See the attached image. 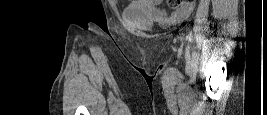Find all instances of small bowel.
I'll list each match as a JSON object with an SVG mask.
<instances>
[{"mask_svg": "<svg viewBox=\"0 0 267 115\" xmlns=\"http://www.w3.org/2000/svg\"><path fill=\"white\" fill-rule=\"evenodd\" d=\"M160 4L161 0H138V1H133L130 7L133 9L144 10L158 19H172V20H180L187 17L193 7L192 3L183 5L180 9L168 15L165 10L159 8Z\"/></svg>", "mask_w": 267, "mask_h": 115, "instance_id": "small-bowel-1", "label": "small bowel"}]
</instances>
